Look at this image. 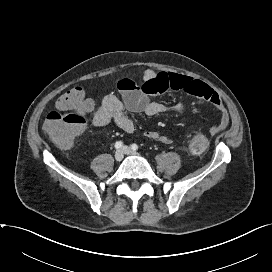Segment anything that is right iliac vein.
<instances>
[{
    "label": "right iliac vein",
    "instance_id": "1",
    "mask_svg": "<svg viewBox=\"0 0 272 272\" xmlns=\"http://www.w3.org/2000/svg\"><path fill=\"white\" fill-rule=\"evenodd\" d=\"M114 157H115V160H116V161H121V160L123 159V157H124L123 151H122V150H117V151L115 152Z\"/></svg>",
    "mask_w": 272,
    "mask_h": 272
}]
</instances>
